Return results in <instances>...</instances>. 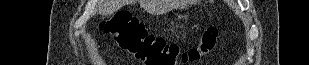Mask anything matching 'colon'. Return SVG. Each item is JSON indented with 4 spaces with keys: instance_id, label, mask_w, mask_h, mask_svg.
Wrapping results in <instances>:
<instances>
[{
    "instance_id": "obj_1",
    "label": "colon",
    "mask_w": 309,
    "mask_h": 65,
    "mask_svg": "<svg viewBox=\"0 0 309 65\" xmlns=\"http://www.w3.org/2000/svg\"><path fill=\"white\" fill-rule=\"evenodd\" d=\"M100 30L114 38L117 46L133 55L145 65H178L199 61L211 52L216 44L218 31L204 29L196 47L181 50L164 38L150 35L139 20L128 11H118L100 23Z\"/></svg>"
}]
</instances>
